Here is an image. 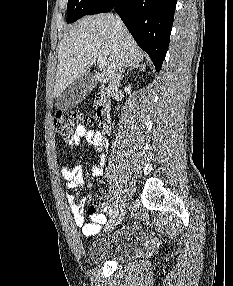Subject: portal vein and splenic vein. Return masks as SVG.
<instances>
[{
  "instance_id": "1",
  "label": "portal vein and splenic vein",
  "mask_w": 233,
  "mask_h": 286,
  "mask_svg": "<svg viewBox=\"0 0 233 286\" xmlns=\"http://www.w3.org/2000/svg\"><path fill=\"white\" fill-rule=\"evenodd\" d=\"M97 65L99 66V68L103 69L105 67V61L102 59H98Z\"/></svg>"
}]
</instances>
